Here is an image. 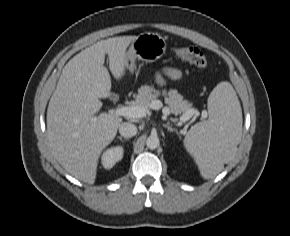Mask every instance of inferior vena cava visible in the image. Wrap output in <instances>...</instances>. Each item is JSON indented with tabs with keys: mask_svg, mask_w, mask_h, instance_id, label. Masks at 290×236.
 Wrapping results in <instances>:
<instances>
[{
	"mask_svg": "<svg viewBox=\"0 0 290 236\" xmlns=\"http://www.w3.org/2000/svg\"><path fill=\"white\" fill-rule=\"evenodd\" d=\"M137 127L129 122L121 123L119 126V133L125 138H131L136 135Z\"/></svg>",
	"mask_w": 290,
	"mask_h": 236,
	"instance_id": "1",
	"label": "inferior vena cava"
}]
</instances>
